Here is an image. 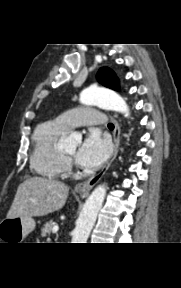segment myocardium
Returning a JSON list of instances; mask_svg holds the SVG:
<instances>
[{
  "mask_svg": "<svg viewBox=\"0 0 181 288\" xmlns=\"http://www.w3.org/2000/svg\"><path fill=\"white\" fill-rule=\"evenodd\" d=\"M63 154H64L66 160L68 161V163L72 161V157H71V156H68V155L65 154L64 152H63Z\"/></svg>",
  "mask_w": 181,
  "mask_h": 288,
  "instance_id": "1",
  "label": "myocardium"
}]
</instances>
